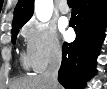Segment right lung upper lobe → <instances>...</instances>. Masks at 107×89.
Instances as JSON below:
<instances>
[{"mask_svg":"<svg viewBox=\"0 0 107 89\" xmlns=\"http://www.w3.org/2000/svg\"><path fill=\"white\" fill-rule=\"evenodd\" d=\"M33 14V0H18L14 9L13 26H23Z\"/></svg>","mask_w":107,"mask_h":89,"instance_id":"1","label":"right lung upper lobe"}]
</instances>
